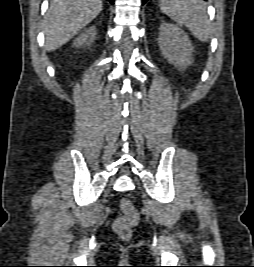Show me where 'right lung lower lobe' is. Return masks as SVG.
<instances>
[{"label": "right lung lower lobe", "instance_id": "98d812e1", "mask_svg": "<svg viewBox=\"0 0 254 267\" xmlns=\"http://www.w3.org/2000/svg\"><path fill=\"white\" fill-rule=\"evenodd\" d=\"M111 4H114V0H108Z\"/></svg>", "mask_w": 254, "mask_h": 267}]
</instances>
